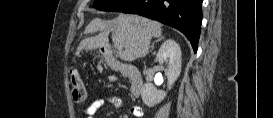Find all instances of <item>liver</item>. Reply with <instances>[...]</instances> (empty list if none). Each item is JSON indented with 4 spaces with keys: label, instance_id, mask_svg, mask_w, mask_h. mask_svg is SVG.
<instances>
[{
    "label": "liver",
    "instance_id": "liver-1",
    "mask_svg": "<svg viewBox=\"0 0 273 118\" xmlns=\"http://www.w3.org/2000/svg\"><path fill=\"white\" fill-rule=\"evenodd\" d=\"M97 31H100L98 35L83 39L78 50L108 48V35L112 32L113 40L124 48L119 53L120 58L129 62L144 57L149 51L150 40L162 34L160 23L137 15H119L112 20L95 18L85 32Z\"/></svg>",
    "mask_w": 273,
    "mask_h": 118
}]
</instances>
